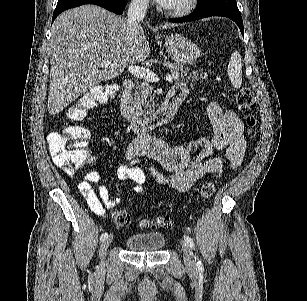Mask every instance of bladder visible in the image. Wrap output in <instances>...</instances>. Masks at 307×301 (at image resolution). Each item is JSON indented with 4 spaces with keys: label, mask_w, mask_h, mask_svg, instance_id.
<instances>
[{
    "label": "bladder",
    "mask_w": 307,
    "mask_h": 301,
    "mask_svg": "<svg viewBox=\"0 0 307 301\" xmlns=\"http://www.w3.org/2000/svg\"><path fill=\"white\" fill-rule=\"evenodd\" d=\"M125 245L129 251H160L165 237L156 232L135 234L126 239Z\"/></svg>",
    "instance_id": "31cf9c89"
}]
</instances>
